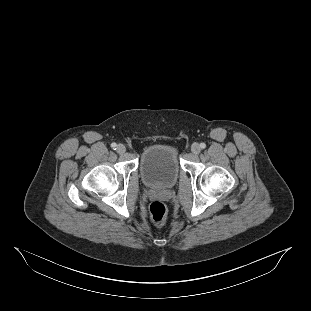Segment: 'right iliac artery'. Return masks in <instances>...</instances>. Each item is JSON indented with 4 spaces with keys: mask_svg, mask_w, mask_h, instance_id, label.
Returning <instances> with one entry per match:
<instances>
[{
    "mask_svg": "<svg viewBox=\"0 0 311 311\" xmlns=\"http://www.w3.org/2000/svg\"><path fill=\"white\" fill-rule=\"evenodd\" d=\"M111 147H112L113 149H116L117 144H116V143H112V144H111Z\"/></svg>",
    "mask_w": 311,
    "mask_h": 311,
    "instance_id": "82829eb1",
    "label": "right iliac artery"
}]
</instances>
